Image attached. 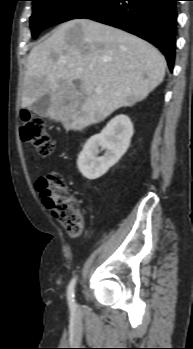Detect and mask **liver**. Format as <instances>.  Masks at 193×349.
<instances>
[{
    "label": "liver",
    "instance_id": "obj_1",
    "mask_svg": "<svg viewBox=\"0 0 193 349\" xmlns=\"http://www.w3.org/2000/svg\"><path fill=\"white\" fill-rule=\"evenodd\" d=\"M165 69L164 56L143 39L74 19L30 51L21 106L49 95L46 117L67 131H82L145 99L162 83Z\"/></svg>",
    "mask_w": 193,
    "mask_h": 349
}]
</instances>
